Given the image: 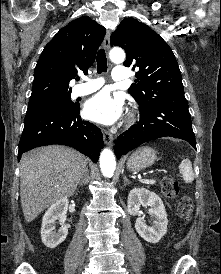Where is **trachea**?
Listing matches in <instances>:
<instances>
[{
    "label": "trachea",
    "instance_id": "1",
    "mask_svg": "<svg viewBox=\"0 0 221 274\" xmlns=\"http://www.w3.org/2000/svg\"><path fill=\"white\" fill-rule=\"evenodd\" d=\"M106 71H107V59H106L105 51L104 49H100L97 53V72L102 73Z\"/></svg>",
    "mask_w": 221,
    "mask_h": 274
}]
</instances>
